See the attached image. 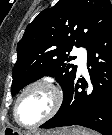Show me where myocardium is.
I'll return each mask as SVG.
<instances>
[{"instance_id":"1","label":"myocardium","mask_w":112,"mask_h":135,"mask_svg":"<svg viewBox=\"0 0 112 135\" xmlns=\"http://www.w3.org/2000/svg\"><path fill=\"white\" fill-rule=\"evenodd\" d=\"M39 86L47 87L53 92L54 104H53L51 110L49 111V113L46 116H44L43 118H41L40 120H38L34 123H31V124L24 123L20 119L19 113H18L20 100L22 99V97L24 96V94L27 91H29L32 88L39 87ZM62 103H63V93L55 84H53L52 82H50L48 80H37V81H34V82L30 83L29 85H27L18 95V97L15 101V104H14V108H13V117H14L15 121L22 127H25V128L37 127V126L47 122L51 118H53L59 111Z\"/></svg>"}]
</instances>
